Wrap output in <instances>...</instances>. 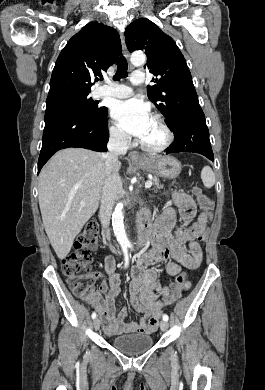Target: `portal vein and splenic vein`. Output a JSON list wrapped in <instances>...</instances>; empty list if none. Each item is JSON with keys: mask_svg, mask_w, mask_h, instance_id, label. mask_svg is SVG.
<instances>
[{"mask_svg": "<svg viewBox=\"0 0 265 390\" xmlns=\"http://www.w3.org/2000/svg\"><path fill=\"white\" fill-rule=\"evenodd\" d=\"M151 186H152V181L151 180L146 181L145 188L149 189V188H151ZM81 205L84 206L85 203H81Z\"/></svg>", "mask_w": 265, "mask_h": 390, "instance_id": "1", "label": "portal vein and splenic vein"}]
</instances>
